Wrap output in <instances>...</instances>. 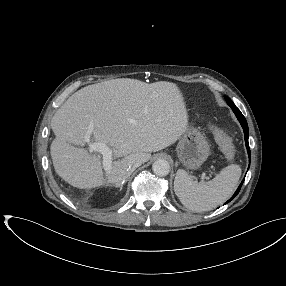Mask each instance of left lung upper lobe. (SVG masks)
<instances>
[{
  "mask_svg": "<svg viewBox=\"0 0 286 286\" xmlns=\"http://www.w3.org/2000/svg\"><path fill=\"white\" fill-rule=\"evenodd\" d=\"M225 100L227 102V104L231 107V108H235V104L233 103V101L229 98V97H225Z\"/></svg>",
  "mask_w": 286,
  "mask_h": 286,
  "instance_id": "1",
  "label": "left lung upper lobe"
}]
</instances>
